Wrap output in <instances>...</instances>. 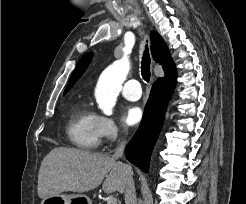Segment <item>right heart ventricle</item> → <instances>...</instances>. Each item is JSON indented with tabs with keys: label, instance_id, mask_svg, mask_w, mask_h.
<instances>
[{
	"label": "right heart ventricle",
	"instance_id": "e07e8e85",
	"mask_svg": "<svg viewBox=\"0 0 246 204\" xmlns=\"http://www.w3.org/2000/svg\"><path fill=\"white\" fill-rule=\"evenodd\" d=\"M66 132L69 141L83 150L96 149L101 140L99 116L85 103L74 105L70 111Z\"/></svg>",
	"mask_w": 246,
	"mask_h": 204
}]
</instances>
